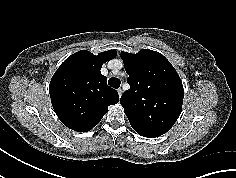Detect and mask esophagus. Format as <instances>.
Masks as SVG:
<instances>
[{"label": "esophagus", "instance_id": "obj_1", "mask_svg": "<svg viewBox=\"0 0 236 178\" xmlns=\"http://www.w3.org/2000/svg\"><path fill=\"white\" fill-rule=\"evenodd\" d=\"M117 92H118L119 97L121 98L122 93H123L122 89L121 88L117 89Z\"/></svg>", "mask_w": 236, "mask_h": 178}]
</instances>
